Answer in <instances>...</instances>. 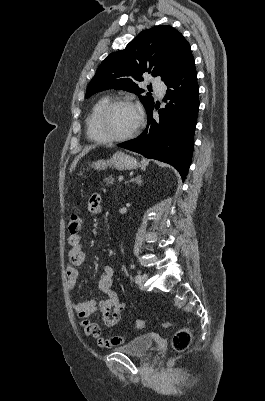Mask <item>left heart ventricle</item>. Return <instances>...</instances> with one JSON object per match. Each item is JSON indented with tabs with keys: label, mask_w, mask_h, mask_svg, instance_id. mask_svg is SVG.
Masks as SVG:
<instances>
[{
	"label": "left heart ventricle",
	"mask_w": 265,
	"mask_h": 401,
	"mask_svg": "<svg viewBox=\"0 0 265 401\" xmlns=\"http://www.w3.org/2000/svg\"><path fill=\"white\" fill-rule=\"evenodd\" d=\"M138 113L133 106L119 105L110 110L102 120V130L107 136H121L136 125Z\"/></svg>",
	"instance_id": "left-heart-ventricle-1"
}]
</instances>
